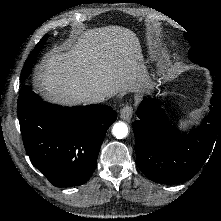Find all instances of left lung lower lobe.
Masks as SVG:
<instances>
[{
	"instance_id": "1",
	"label": "left lung lower lobe",
	"mask_w": 221,
	"mask_h": 221,
	"mask_svg": "<svg viewBox=\"0 0 221 221\" xmlns=\"http://www.w3.org/2000/svg\"><path fill=\"white\" fill-rule=\"evenodd\" d=\"M211 71L213 95L201 125L181 134L169 122L158 101L144 98L134 121L137 166L152 181L171 184L194 177L221 138V80ZM215 74V76H214Z\"/></svg>"
}]
</instances>
